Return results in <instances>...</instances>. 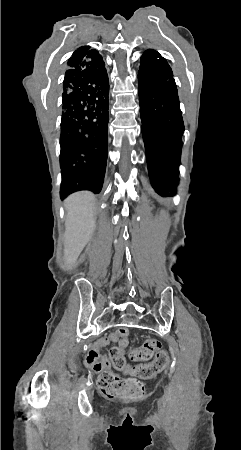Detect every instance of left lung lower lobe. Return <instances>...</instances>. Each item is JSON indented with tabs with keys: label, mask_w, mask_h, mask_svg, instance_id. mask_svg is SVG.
<instances>
[{
	"label": "left lung lower lobe",
	"mask_w": 241,
	"mask_h": 450,
	"mask_svg": "<svg viewBox=\"0 0 241 450\" xmlns=\"http://www.w3.org/2000/svg\"><path fill=\"white\" fill-rule=\"evenodd\" d=\"M138 89L142 135L151 184L163 195L175 191L184 123L173 72L154 50L141 57Z\"/></svg>",
	"instance_id": "1"
}]
</instances>
